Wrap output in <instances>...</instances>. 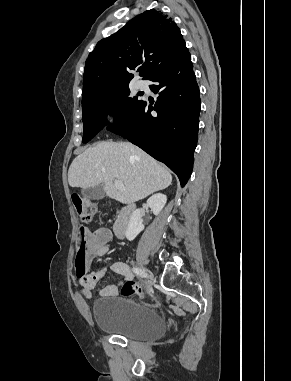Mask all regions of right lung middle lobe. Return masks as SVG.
<instances>
[{"label": "right lung middle lobe", "instance_id": "obj_1", "mask_svg": "<svg viewBox=\"0 0 291 381\" xmlns=\"http://www.w3.org/2000/svg\"><path fill=\"white\" fill-rule=\"evenodd\" d=\"M142 101L130 96L128 86L118 87L104 92L99 97L82 105V121L84 125L82 142L90 141L104 126L108 124L107 114H115L117 125L132 115ZM109 126V127H110Z\"/></svg>", "mask_w": 291, "mask_h": 381}]
</instances>
